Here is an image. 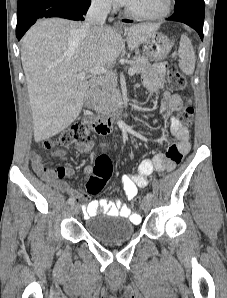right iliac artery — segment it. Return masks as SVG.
<instances>
[{"instance_id":"1","label":"right iliac artery","mask_w":227,"mask_h":298,"mask_svg":"<svg viewBox=\"0 0 227 298\" xmlns=\"http://www.w3.org/2000/svg\"><path fill=\"white\" fill-rule=\"evenodd\" d=\"M68 204H74V199L72 197L68 199Z\"/></svg>"}]
</instances>
